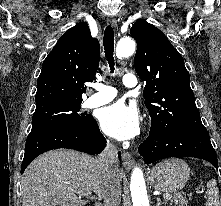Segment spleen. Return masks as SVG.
<instances>
[{"mask_svg": "<svg viewBox=\"0 0 221 206\" xmlns=\"http://www.w3.org/2000/svg\"><path fill=\"white\" fill-rule=\"evenodd\" d=\"M216 185H217V182L215 179H212L207 184L208 200L206 202V206H219V192H218Z\"/></svg>", "mask_w": 221, "mask_h": 206, "instance_id": "1", "label": "spleen"}]
</instances>
